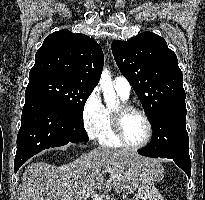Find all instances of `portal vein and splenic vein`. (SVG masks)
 <instances>
[{
  "label": "portal vein and splenic vein",
  "instance_id": "portal-vein-and-splenic-vein-1",
  "mask_svg": "<svg viewBox=\"0 0 205 200\" xmlns=\"http://www.w3.org/2000/svg\"><path fill=\"white\" fill-rule=\"evenodd\" d=\"M107 171V170H106ZM80 195H85V197H91L93 200H103L101 196H99L94 191L90 189H84L82 192L79 193Z\"/></svg>",
  "mask_w": 205,
  "mask_h": 200
}]
</instances>
